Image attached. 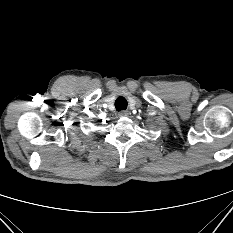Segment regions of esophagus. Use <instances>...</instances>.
<instances>
[{"mask_svg": "<svg viewBox=\"0 0 233 233\" xmlns=\"http://www.w3.org/2000/svg\"><path fill=\"white\" fill-rule=\"evenodd\" d=\"M129 115V112L128 111H121L120 113H119V116L120 117H126V116H128Z\"/></svg>", "mask_w": 233, "mask_h": 233, "instance_id": "1", "label": "esophagus"}]
</instances>
